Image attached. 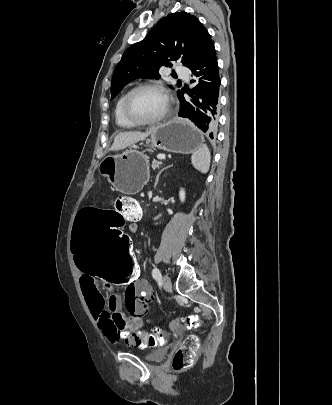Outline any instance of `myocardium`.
I'll return each mask as SVG.
<instances>
[{
  "instance_id": "myocardium-1",
  "label": "myocardium",
  "mask_w": 332,
  "mask_h": 405,
  "mask_svg": "<svg viewBox=\"0 0 332 405\" xmlns=\"http://www.w3.org/2000/svg\"><path fill=\"white\" fill-rule=\"evenodd\" d=\"M143 89H153V90L159 91L160 93H162L164 95L166 102H167V106H166L165 111L158 117H155L153 119H148V120H141V119L135 118L130 113V111H129L130 99L132 98V96L135 93H137L138 91L143 90ZM171 110H172L171 100H170V97L168 96L166 90L161 85H159L157 83H152V82L142 83V84L132 88L131 90H129L125 94V96L122 100V104H121V111H122L124 118L134 125H150V124L159 123V122L165 120L170 115Z\"/></svg>"
}]
</instances>
